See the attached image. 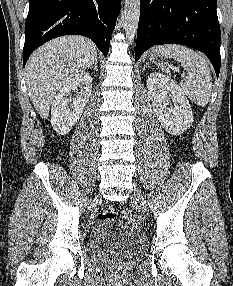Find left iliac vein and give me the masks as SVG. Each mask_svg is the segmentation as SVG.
Here are the masks:
<instances>
[{"instance_id": "4c4485c4", "label": "left iliac vein", "mask_w": 233, "mask_h": 286, "mask_svg": "<svg viewBox=\"0 0 233 286\" xmlns=\"http://www.w3.org/2000/svg\"><path fill=\"white\" fill-rule=\"evenodd\" d=\"M134 196L136 197V200L140 206V208L142 209L143 212L146 211V201L143 197V195L141 194L140 189L134 185Z\"/></svg>"}]
</instances>
